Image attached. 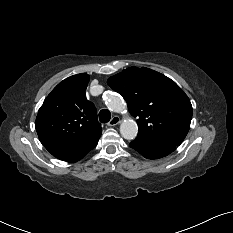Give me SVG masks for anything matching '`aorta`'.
I'll list each match as a JSON object with an SVG mask.
<instances>
[{
  "instance_id": "obj_1",
  "label": "aorta",
  "mask_w": 233,
  "mask_h": 233,
  "mask_svg": "<svg viewBox=\"0 0 233 233\" xmlns=\"http://www.w3.org/2000/svg\"><path fill=\"white\" fill-rule=\"evenodd\" d=\"M106 105L110 110L117 113H121L126 110L123 98L116 93L107 94ZM120 133L124 139H135L138 133L137 123L131 118L123 120L120 125Z\"/></svg>"
}]
</instances>
